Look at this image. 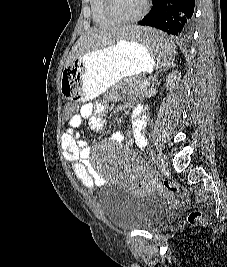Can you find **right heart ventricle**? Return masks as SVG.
<instances>
[{
    "instance_id": "obj_1",
    "label": "right heart ventricle",
    "mask_w": 227,
    "mask_h": 267,
    "mask_svg": "<svg viewBox=\"0 0 227 267\" xmlns=\"http://www.w3.org/2000/svg\"><path fill=\"white\" fill-rule=\"evenodd\" d=\"M91 10L93 20L96 24L108 26L116 23L106 14L104 10V0H91Z\"/></svg>"
}]
</instances>
